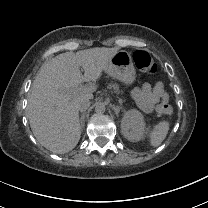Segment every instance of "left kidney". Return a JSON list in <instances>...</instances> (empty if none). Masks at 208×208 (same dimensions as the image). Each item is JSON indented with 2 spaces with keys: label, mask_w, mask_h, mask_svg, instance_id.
<instances>
[{
  "label": "left kidney",
  "mask_w": 208,
  "mask_h": 208,
  "mask_svg": "<svg viewBox=\"0 0 208 208\" xmlns=\"http://www.w3.org/2000/svg\"><path fill=\"white\" fill-rule=\"evenodd\" d=\"M121 132L126 139L132 142L140 141L145 136L144 117L136 109L124 111L121 121Z\"/></svg>",
  "instance_id": "obj_1"
}]
</instances>
